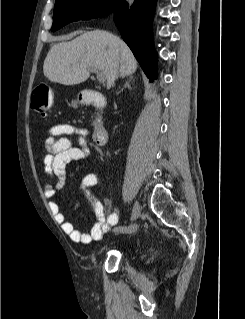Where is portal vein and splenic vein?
Listing matches in <instances>:
<instances>
[{"mask_svg": "<svg viewBox=\"0 0 245 319\" xmlns=\"http://www.w3.org/2000/svg\"><path fill=\"white\" fill-rule=\"evenodd\" d=\"M90 71L96 74L97 80L99 82L103 83L105 81V75L102 71H100L96 68H92V69H90Z\"/></svg>", "mask_w": 245, "mask_h": 319, "instance_id": "portal-vein-and-splenic-vein-1", "label": "portal vein and splenic vein"}]
</instances>
